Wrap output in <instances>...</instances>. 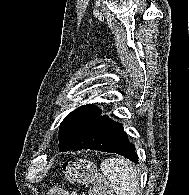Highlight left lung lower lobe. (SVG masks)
Masks as SVG:
<instances>
[{"instance_id":"obj_1","label":"left lung lower lobe","mask_w":189,"mask_h":195,"mask_svg":"<svg viewBox=\"0 0 189 195\" xmlns=\"http://www.w3.org/2000/svg\"><path fill=\"white\" fill-rule=\"evenodd\" d=\"M99 110L91 119L83 124L73 136L59 146V151L91 149L112 152L138 162L135 146L131 144L123 131V126L106 116Z\"/></svg>"}]
</instances>
